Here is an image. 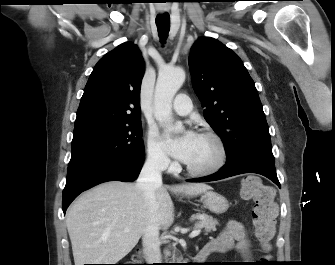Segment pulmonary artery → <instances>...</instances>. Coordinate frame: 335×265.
Instances as JSON below:
<instances>
[{"label":"pulmonary artery","mask_w":335,"mask_h":265,"mask_svg":"<svg viewBox=\"0 0 335 265\" xmlns=\"http://www.w3.org/2000/svg\"><path fill=\"white\" fill-rule=\"evenodd\" d=\"M173 110L179 115H187L192 110L190 98L186 94H179L173 102Z\"/></svg>","instance_id":"obj_1"}]
</instances>
